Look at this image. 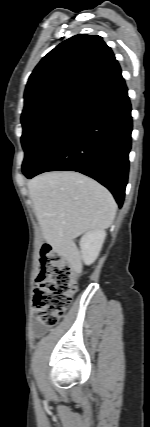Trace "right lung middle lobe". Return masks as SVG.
<instances>
[{
	"instance_id": "1",
	"label": "right lung middle lobe",
	"mask_w": 150,
	"mask_h": 427,
	"mask_svg": "<svg viewBox=\"0 0 150 427\" xmlns=\"http://www.w3.org/2000/svg\"><path fill=\"white\" fill-rule=\"evenodd\" d=\"M80 106L53 104L34 109L21 117L25 151L22 171L29 176L62 133Z\"/></svg>"
}]
</instances>
